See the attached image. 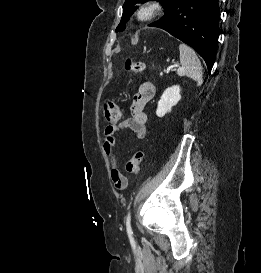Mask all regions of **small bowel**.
I'll list each match as a JSON object with an SVG mask.
<instances>
[{
  "label": "small bowel",
  "mask_w": 261,
  "mask_h": 273,
  "mask_svg": "<svg viewBox=\"0 0 261 273\" xmlns=\"http://www.w3.org/2000/svg\"><path fill=\"white\" fill-rule=\"evenodd\" d=\"M156 94V87L153 83L146 81L139 87L138 92L133 98L130 107V115L119 120L116 123L110 124L104 131V151L111 164V179L117 188L118 179H122L127 185V178L121 173L117 164V157L115 153V144L118 140H123L126 137H134L136 139H143L146 136V106L154 98ZM127 130L126 136L117 137L116 134ZM118 189V188H117ZM120 190V189H119Z\"/></svg>",
  "instance_id": "small-bowel-1"
}]
</instances>
